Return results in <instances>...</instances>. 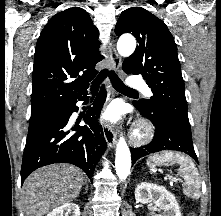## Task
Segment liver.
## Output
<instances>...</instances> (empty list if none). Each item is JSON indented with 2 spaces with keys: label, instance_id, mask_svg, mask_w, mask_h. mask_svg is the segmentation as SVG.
Here are the masks:
<instances>
[{
  "label": "liver",
  "instance_id": "obj_1",
  "mask_svg": "<svg viewBox=\"0 0 221 216\" xmlns=\"http://www.w3.org/2000/svg\"><path fill=\"white\" fill-rule=\"evenodd\" d=\"M76 167L53 164L34 171L24 182L22 191L25 216H44L50 210L76 199L84 184Z\"/></svg>",
  "mask_w": 221,
  "mask_h": 216
}]
</instances>
